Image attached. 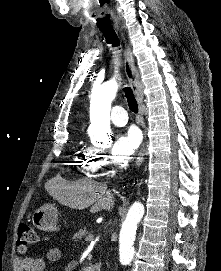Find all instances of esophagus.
Instances as JSON below:
<instances>
[{
  "mask_svg": "<svg viewBox=\"0 0 221 271\" xmlns=\"http://www.w3.org/2000/svg\"><path fill=\"white\" fill-rule=\"evenodd\" d=\"M124 68H125L126 76L129 82L131 83V86L134 90V94L136 96V99L139 105V123L142 126L143 131H144V140H143L139 155L136 160V166L140 167L144 161L145 148H146V129H145V122L143 118V115H144L143 85L140 81L139 73L137 69L135 68L133 57L128 47L126 48V51H125Z\"/></svg>",
  "mask_w": 221,
  "mask_h": 271,
  "instance_id": "obj_1",
  "label": "esophagus"
}]
</instances>
